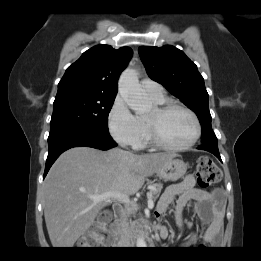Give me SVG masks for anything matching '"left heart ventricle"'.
Masks as SVG:
<instances>
[{"label": "left heart ventricle", "mask_w": 261, "mask_h": 261, "mask_svg": "<svg viewBox=\"0 0 261 261\" xmlns=\"http://www.w3.org/2000/svg\"><path fill=\"white\" fill-rule=\"evenodd\" d=\"M158 130L161 139L171 145H183L191 140L195 132L192 118L180 109L158 115L155 108L146 117Z\"/></svg>", "instance_id": "left-heart-ventricle-1"}]
</instances>
